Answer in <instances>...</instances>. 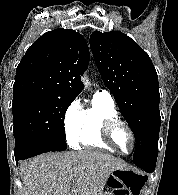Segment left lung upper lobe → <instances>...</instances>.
<instances>
[{
	"instance_id": "obj_1",
	"label": "left lung upper lobe",
	"mask_w": 178,
	"mask_h": 195,
	"mask_svg": "<svg viewBox=\"0 0 178 195\" xmlns=\"http://www.w3.org/2000/svg\"><path fill=\"white\" fill-rule=\"evenodd\" d=\"M89 43L102 80L134 133L133 158L158 151L160 94L150 57L120 31H95Z\"/></svg>"
}]
</instances>
